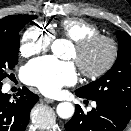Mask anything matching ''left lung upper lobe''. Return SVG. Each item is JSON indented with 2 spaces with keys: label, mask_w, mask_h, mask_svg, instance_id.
I'll return each instance as SVG.
<instances>
[{
  "label": "left lung upper lobe",
  "mask_w": 131,
  "mask_h": 131,
  "mask_svg": "<svg viewBox=\"0 0 131 131\" xmlns=\"http://www.w3.org/2000/svg\"><path fill=\"white\" fill-rule=\"evenodd\" d=\"M118 56L112 68L100 79L76 90L84 98L104 101L131 117V36L118 31Z\"/></svg>",
  "instance_id": "5c2ea615"
}]
</instances>
